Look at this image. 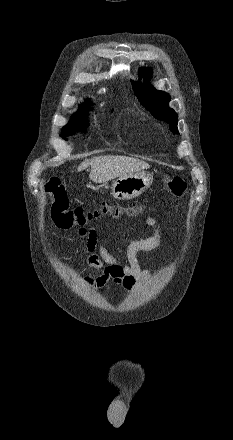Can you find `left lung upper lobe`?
<instances>
[{
  "label": "left lung upper lobe",
  "instance_id": "1",
  "mask_svg": "<svg viewBox=\"0 0 233 440\" xmlns=\"http://www.w3.org/2000/svg\"><path fill=\"white\" fill-rule=\"evenodd\" d=\"M151 69L141 68L139 73L146 79L151 75ZM133 89L139 101L146 107L151 114L169 124L170 130L176 134L178 133L177 122L178 115L174 110L168 107L170 96L163 92L156 90L149 83H135L132 81Z\"/></svg>",
  "mask_w": 233,
  "mask_h": 440
}]
</instances>
